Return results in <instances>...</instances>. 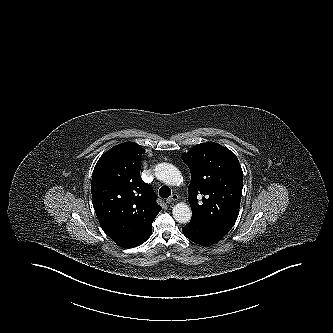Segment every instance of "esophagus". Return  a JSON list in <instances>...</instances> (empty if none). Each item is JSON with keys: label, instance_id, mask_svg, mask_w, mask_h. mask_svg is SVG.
<instances>
[{"label": "esophagus", "instance_id": "34e87169", "mask_svg": "<svg viewBox=\"0 0 333 333\" xmlns=\"http://www.w3.org/2000/svg\"><path fill=\"white\" fill-rule=\"evenodd\" d=\"M178 199L177 194H172L170 197L166 199V203L171 204L172 202L176 201Z\"/></svg>", "mask_w": 333, "mask_h": 333}]
</instances>
